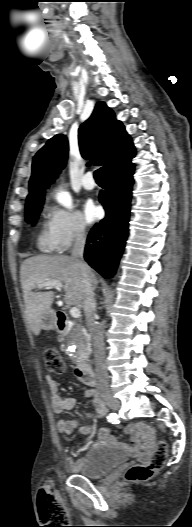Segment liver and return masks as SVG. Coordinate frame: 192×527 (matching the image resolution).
Masks as SVG:
<instances>
[{
    "label": "liver",
    "instance_id": "liver-1",
    "mask_svg": "<svg viewBox=\"0 0 192 527\" xmlns=\"http://www.w3.org/2000/svg\"><path fill=\"white\" fill-rule=\"evenodd\" d=\"M92 285L96 284L95 275L90 270ZM20 280L25 303V314L29 328L38 336L41 331V319L50 310L54 301V292H34L39 283L56 280L64 283V302L78 309L83 307L85 283L81 274L80 262L65 255H37L27 258L21 264Z\"/></svg>",
    "mask_w": 192,
    "mask_h": 527
}]
</instances>
